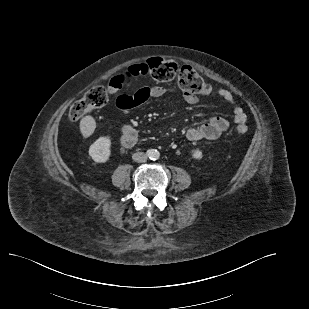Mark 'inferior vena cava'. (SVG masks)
I'll return each mask as SVG.
<instances>
[{
    "label": "inferior vena cava",
    "mask_w": 309,
    "mask_h": 309,
    "mask_svg": "<svg viewBox=\"0 0 309 309\" xmlns=\"http://www.w3.org/2000/svg\"><path fill=\"white\" fill-rule=\"evenodd\" d=\"M132 159L135 161V162H138V163H143V162H146L147 161V155L143 152H137V153H134L132 155Z\"/></svg>",
    "instance_id": "obj_1"
}]
</instances>
